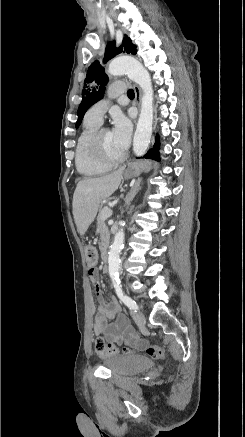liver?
I'll use <instances>...</instances> for the list:
<instances>
[{
	"label": "liver",
	"instance_id": "6515ba94",
	"mask_svg": "<svg viewBox=\"0 0 245 437\" xmlns=\"http://www.w3.org/2000/svg\"><path fill=\"white\" fill-rule=\"evenodd\" d=\"M124 167L106 176L78 182L73 195L72 212L78 233L83 236L94 221L102 200L119 187Z\"/></svg>",
	"mask_w": 245,
	"mask_h": 437
}]
</instances>
